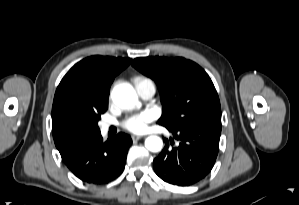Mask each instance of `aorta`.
<instances>
[{
    "label": "aorta",
    "mask_w": 299,
    "mask_h": 205,
    "mask_svg": "<svg viewBox=\"0 0 299 205\" xmlns=\"http://www.w3.org/2000/svg\"><path fill=\"white\" fill-rule=\"evenodd\" d=\"M111 97L113 102L123 109H132L138 104V96L134 88L127 83L115 86ZM162 146L163 141L158 136H149L145 140V147L151 152H159Z\"/></svg>",
    "instance_id": "aorta-1"
}]
</instances>
